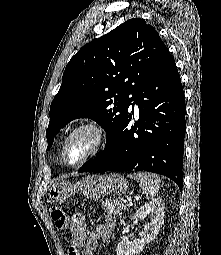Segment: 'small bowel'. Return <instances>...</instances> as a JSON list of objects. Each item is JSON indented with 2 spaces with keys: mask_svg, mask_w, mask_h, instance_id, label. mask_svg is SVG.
Wrapping results in <instances>:
<instances>
[{
  "mask_svg": "<svg viewBox=\"0 0 221 255\" xmlns=\"http://www.w3.org/2000/svg\"><path fill=\"white\" fill-rule=\"evenodd\" d=\"M102 223L96 226L87 237L85 229L79 233L72 232V241L69 246V255H93L100 240L108 242L115 227V219L105 214Z\"/></svg>",
  "mask_w": 221,
  "mask_h": 255,
  "instance_id": "1",
  "label": "small bowel"
}]
</instances>
